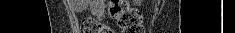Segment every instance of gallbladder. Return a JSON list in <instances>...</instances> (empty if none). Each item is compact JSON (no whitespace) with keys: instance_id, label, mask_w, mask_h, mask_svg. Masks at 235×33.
I'll return each instance as SVG.
<instances>
[{"instance_id":"1","label":"gallbladder","mask_w":235,"mask_h":33,"mask_svg":"<svg viewBox=\"0 0 235 33\" xmlns=\"http://www.w3.org/2000/svg\"><path fill=\"white\" fill-rule=\"evenodd\" d=\"M88 0H84V2H87ZM86 3L83 4V7H85Z\"/></svg>"}]
</instances>
